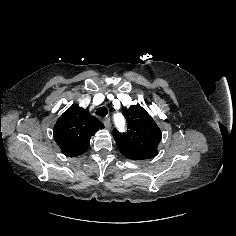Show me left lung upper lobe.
Instances as JSON below:
<instances>
[{"label":"left lung upper lobe","instance_id":"5c2ea615","mask_svg":"<svg viewBox=\"0 0 236 236\" xmlns=\"http://www.w3.org/2000/svg\"><path fill=\"white\" fill-rule=\"evenodd\" d=\"M127 120L128 130L120 134L116 129L113 137L118 148L157 152L161 141V131L148 112L140 105L122 109Z\"/></svg>","mask_w":236,"mask_h":236}]
</instances>
